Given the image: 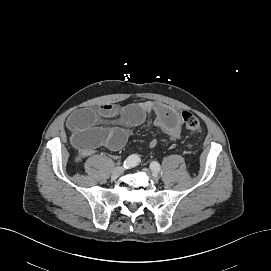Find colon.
I'll list each match as a JSON object with an SVG mask.
<instances>
[{"mask_svg":"<svg viewBox=\"0 0 271 271\" xmlns=\"http://www.w3.org/2000/svg\"><path fill=\"white\" fill-rule=\"evenodd\" d=\"M181 118H182L183 129L185 131L193 132V131H197L200 128L199 119L192 113L183 111L181 114ZM180 135H181L180 129L177 128L174 132L170 134V139H176L180 137Z\"/></svg>","mask_w":271,"mask_h":271,"instance_id":"colon-1","label":"colon"}]
</instances>
